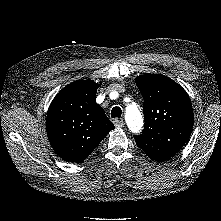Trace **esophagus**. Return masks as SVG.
I'll list each match as a JSON object with an SVG mask.
<instances>
[{"label":"esophagus","mask_w":221,"mask_h":221,"mask_svg":"<svg viewBox=\"0 0 221 221\" xmlns=\"http://www.w3.org/2000/svg\"><path fill=\"white\" fill-rule=\"evenodd\" d=\"M114 125L117 127V128H121L124 126V121L122 119H115L114 120Z\"/></svg>","instance_id":"obj_1"}]
</instances>
